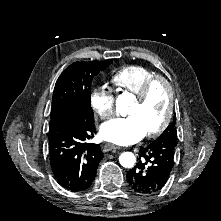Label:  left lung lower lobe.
Returning <instances> with one entry per match:
<instances>
[{
  "label": "left lung lower lobe",
  "instance_id": "obj_1",
  "mask_svg": "<svg viewBox=\"0 0 221 221\" xmlns=\"http://www.w3.org/2000/svg\"><path fill=\"white\" fill-rule=\"evenodd\" d=\"M177 141L157 139L140 149L136 166L127 172L131 188L140 194H153L163 188L169 179Z\"/></svg>",
  "mask_w": 221,
  "mask_h": 221
}]
</instances>
